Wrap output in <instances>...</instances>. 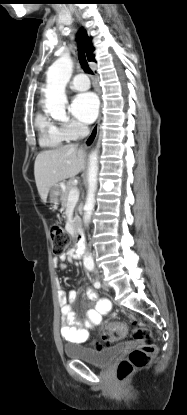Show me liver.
Segmentation results:
<instances>
[{"label":"liver","mask_w":187,"mask_h":415,"mask_svg":"<svg viewBox=\"0 0 187 415\" xmlns=\"http://www.w3.org/2000/svg\"><path fill=\"white\" fill-rule=\"evenodd\" d=\"M84 163V150L73 144L39 153L35 159L34 176L42 202L46 203L52 186L77 175L84 169Z\"/></svg>","instance_id":"obj_1"}]
</instances>
